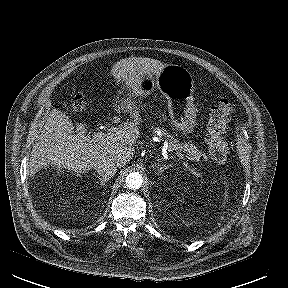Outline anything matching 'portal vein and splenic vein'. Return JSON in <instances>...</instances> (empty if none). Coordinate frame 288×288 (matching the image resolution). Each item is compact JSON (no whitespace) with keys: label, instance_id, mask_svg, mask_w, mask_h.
Segmentation results:
<instances>
[{"label":"portal vein and splenic vein","instance_id":"18ae733b","mask_svg":"<svg viewBox=\"0 0 288 288\" xmlns=\"http://www.w3.org/2000/svg\"><path fill=\"white\" fill-rule=\"evenodd\" d=\"M103 135H104V133H102V132H98V133L94 134L93 141H94V140L97 141V140L102 139V138H103ZM176 154H177V156L179 157V159L184 160L183 164H184L185 167L188 168V164H187V162H186V158L184 157V155L181 154V153H176Z\"/></svg>","mask_w":288,"mask_h":288}]
</instances>
